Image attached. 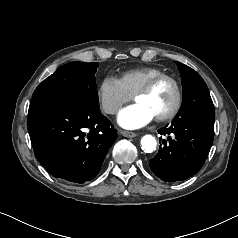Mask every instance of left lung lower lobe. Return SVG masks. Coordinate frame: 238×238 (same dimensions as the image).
<instances>
[{
	"instance_id": "1",
	"label": "left lung lower lobe",
	"mask_w": 238,
	"mask_h": 238,
	"mask_svg": "<svg viewBox=\"0 0 238 238\" xmlns=\"http://www.w3.org/2000/svg\"><path fill=\"white\" fill-rule=\"evenodd\" d=\"M214 118L174 119L158 130L168 136L162 140L157 155L149 165L165 182L182 181L195 175L203 166L213 142ZM161 140V138H160Z\"/></svg>"
}]
</instances>
